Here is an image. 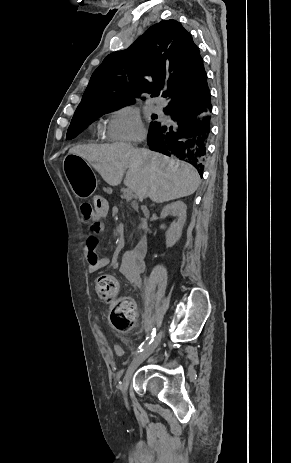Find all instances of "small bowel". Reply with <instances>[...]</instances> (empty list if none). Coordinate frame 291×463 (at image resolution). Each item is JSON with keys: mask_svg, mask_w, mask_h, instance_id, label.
<instances>
[{"mask_svg": "<svg viewBox=\"0 0 291 463\" xmlns=\"http://www.w3.org/2000/svg\"><path fill=\"white\" fill-rule=\"evenodd\" d=\"M107 210V208H106ZM108 215V210H107ZM106 215V217H107ZM106 217H93L89 232L85 237L82 245L83 259L87 270L91 273H96L104 268H107L111 261L108 257H102L97 253L98 235L104 231L103 219ZM144 257L139 256L134 249L126 251L121 259L119 273L136 289H142L143 280L142 272L144 271ZM116 356L122 355V350L119 347L114 349Z\"/></svg>", "mask_w": 291, "mask_h": 463, "instance_id": "obj_1", "label": "small bowel"}]
</instances>
